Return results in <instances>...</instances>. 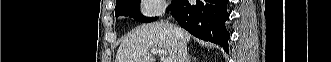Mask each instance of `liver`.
<instances>
[{
  "mask_svg": "<svg viewBox=\"0 0 331 62\" xmlns=\"http://www.w3.org/2000/svg\"><path fill=\"white\" fill-rule=\"evenodd\" d=\"M191 35L172 24L154 22L137 27L122 41L115 62H155L148 55L150 49H166L172 62H176L179 40L189 43Z\"/></svg>",
  "mask_w": 331,
  "mask_h": 62,
  "instance_id": "obj_1",
  "label": "liver"
}]
</instances>
